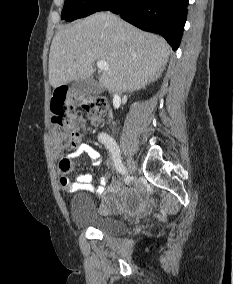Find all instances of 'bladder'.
I'll list each match as a JSON object with an SVG mask.
<instances>
[{
	"label": "bladder",
	"mask_w": 233,
	"mask_h": 284,
	"mask_svg": "<svg viewBox=\"0 0 233 284\" xmlns=\"http://www.w3.org/2000/svg\"><path fill=\"white\" fill-rule=\"evenodd\" d=\"M109 197L115 203L137 201L136 194L130 189L116 192L114 197L109 194ZM70 215L75 225L95 229L104 235L118 236L127 230V224L123 220L100 215L92 198L86 193H78L71 198Z\"/></svg>",
	"instance_id": "31cf9c89"
}]
</instances>
